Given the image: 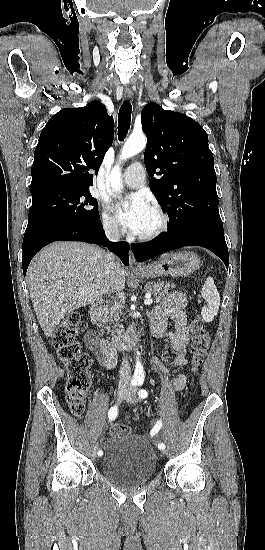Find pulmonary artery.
<instances>
[{
    "label": "pulmonary artery",
    "instance_id": "pulmonary-artery-1",
    "mask_svg": "<svg viewBox=\"0 0 265 550\" xmlns=\"http://www.w3.org/2000/svg\"><path fill=\"white\" fill-rule=\"evenodd\" d=\"M145 181L144 166L135 162L129 165L124 173L123 183L129 188H139Z\"/></svg>",
    "mask_w": 265,
    "mask_h": 550
}]
</instances>
